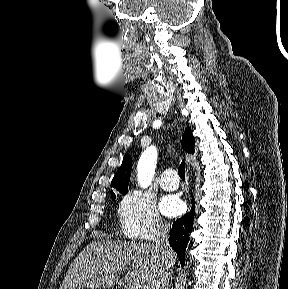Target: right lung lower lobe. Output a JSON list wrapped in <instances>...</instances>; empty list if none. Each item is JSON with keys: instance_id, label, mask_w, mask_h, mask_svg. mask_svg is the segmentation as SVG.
Instances as JSON below:
<instances>
[{"instance_id": "1", "label": "right lung lower lobe", "mask_w": 288, "mask_h": 289, "mask_svg": "<svg viewBox=\"0 0 288 289\" xmlns=\"http://www.w3.org/2000/svg\"><path fill=\"white\" fill-rule=\"evenodd\" d=\"M194 202L192 200V209L182 218L177 219L172 226L170 234V245L178 254L181 265L185 263V250L189 241V234L193 227L194 220Z\"/></svg>"}]
</instances>
